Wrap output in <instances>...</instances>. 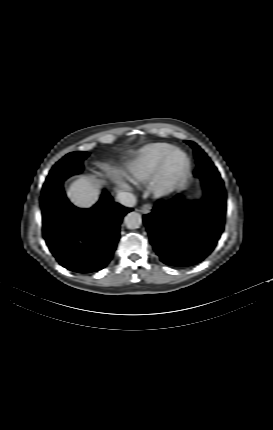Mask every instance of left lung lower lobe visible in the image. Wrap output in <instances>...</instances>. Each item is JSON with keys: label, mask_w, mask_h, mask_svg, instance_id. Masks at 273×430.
Masks as SVG:
<instances>
[{"label": "left lung lower lobe", "mask_w": 273, "mask_h": 430, "mask_svg": "<svg viewBox=\"0 0 273 430\" xmlns=\"http://www.w3.org/2000/svg\"><path fill=\"white\" fill-rule=\"evenodd\" d=\"M203 184L204 200L187 202L180 194L156 204L144 215L150 241L160 259L174 267H188L204 260L224 230L226 194L212 162L194 171Z\"/></svg>", "instance_id": "0a47b994"}]
</instances>
